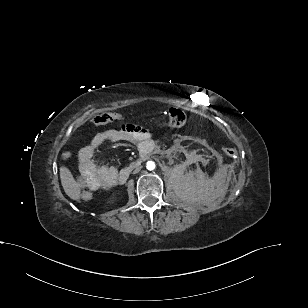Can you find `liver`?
Here are the masks:
<instances>
[{"instance_id":"1","label":"liver","mask_w":308,"mask_h":308,"mask_svg":"<svg viewBox=\"0 0 308 308\" xmlns=\"http://www.w3.org/2000/svg\"><path fill=\"white\" fill-rule=\"evenodd\" d=\"M60 178H61V183H62V186L66 194L74 200L79 199L80 191H79L78 184L74 180L70 170L66 168L65 166H62L60 168Z\"/></svg>"}]
</instances>
